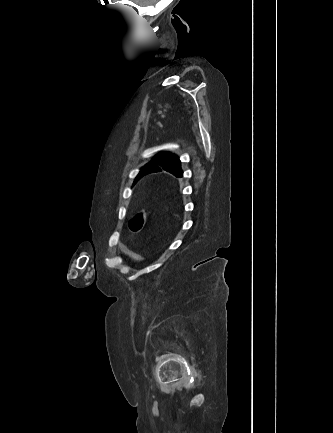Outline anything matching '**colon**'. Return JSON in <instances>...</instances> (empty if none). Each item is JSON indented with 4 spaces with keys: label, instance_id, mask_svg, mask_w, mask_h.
<instances>
[{
    "label": "colon",
    "instance_id": "1",
    "mask_svg": "<svg viewBox=\"0 0 333 433\" xmlns=\"http://www.w3.org/2000/svg\"><path fill=\"white\" fill-rule=\"evenodd\" d=\"M147 213L146 212H139L135 216H133L129 222V227L132 231L137 232L139 231L145 222Z\"/></svg>",
    "mask_w": 333,
    "mask_h": 433
}]
</instances>
